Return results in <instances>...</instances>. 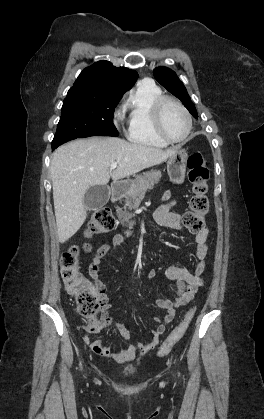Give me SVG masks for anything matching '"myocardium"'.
Here are the masks:
<instances>
[{
	"mask_svg": "<svg viewBox=\"0 0 264 419\" xmlns=\"http://www.w3.org/2000/svg\"><path fill=\"white\" fill-rule=\"evenodd\" d=\"M168 102L174 103L180 110L184 113L186 120H187V130L185 135L182 138L175 139L170 137L164 130L163 127V109ZM152 118H153V126L155 133L157 136L166 143H181L187 140L191 131H192V117L188 111V109L184 106V104L178 100L177 98L170 96V95H161L156 99L153 104L152 108Z\"/></svg>",
	"mask_w": 264,
	"mask_h": 419,
	"instance_id": "obj_1",
	"label": "myocardium"
}]
</instances>
